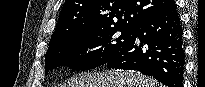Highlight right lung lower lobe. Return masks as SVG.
I'll return each mask as SVG.
<instances>
[{
  "mask_svg": "<svg viewBox=\"0 0 205 87\" xmlns=\"http://www.w3.org/2000/svg\"><path fill=\"white\" fill-rule=\"evenodd\" d=\"M105 64L109 69L140 71L167 87H183V31L174 1L142 21L128 43Z\"/></svg>",
  "mask_w": 205,
  "mask_h": 87,
  "instance_id": "right-lung-lower-lobe-1",
  "label": "right lung lower lobe"
}]
</instances>
